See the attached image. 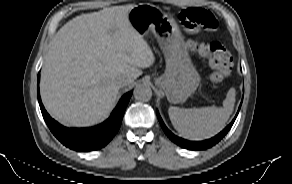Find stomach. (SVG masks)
I'll list each match as a JSON object with an SVG mask.
<instances>
[{"instance_id": "0dacf381", "label": "stomach", "mask_w": 292, "mask_h": 184, "mask_svg": "<svg viewBox=\"0 0 292 184\" xmlns=\"http://www.w3.org/2000/svg\"><path fill=\"white\" fill-rule=\"evenodd\" d=\"M128 19L140 35L153 31L157 40L164 47H169L166 72L157 80V84L164 89L170 102H184L198 86L199 75L185 51L174 43L178 32L175 22L166 19L157 8L149 4L132 8Z\"/></svg>"}]
</instances>
